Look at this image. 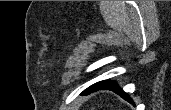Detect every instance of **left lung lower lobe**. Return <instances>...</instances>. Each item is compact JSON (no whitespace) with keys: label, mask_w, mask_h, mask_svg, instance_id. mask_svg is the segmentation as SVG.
Here are the masks:
<instances>
[{"label":"left lung lower lobe","mask_w":171,"mask_h":110,"mask_svg":"<svg viewBox=\"0 0 171 110\" xmlns=\"http://www.w3.org/2000/svg\"><path fill=\"white\" fill-rule=\"evenodd\" d=\"M99 89L111 90V91L119 94L123 99L129 101L130 103H133V101L130 99L128 94L125 93L123 90H121V88L118 86L117 83L111 82V81H108V80H104V81H101V82H98V83H95V84L91 85L86 90H84L82 92V94H88L90 92H93V91L99 90Z\"/></svg>","instance_id":"0a47b994"}]
</instances>
